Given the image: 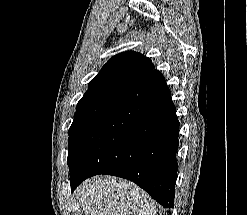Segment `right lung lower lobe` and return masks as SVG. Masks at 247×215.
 <instances>
[{
    "instance_id": "1",
    "label": "right lung lower lobe",
    "mask_w": 247,
    "mask_h": 215,
    "mask_svg": "<svg viewBox=\"0 0 247 215\" xmlns=\"http://www.w3.org/2000/svg\"><path fill=\"white\" fill-rule=\"evenodd\" d=\"M179 121L163 75L153 70L83 137L70 166L72 192L85 179H129L165 208L174 207Z\"/></svg>"
}]
</instances>
